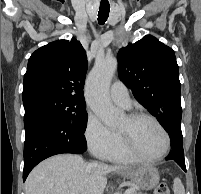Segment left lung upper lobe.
<instances>
[{"instance_id":"left-lung-upper-lobe-1","label":"left lung upper lobe","mask_w":201,"mask_h":194,"mask_svg":"<svg viewBox=\"0 0 201 194\" xmlns=\"http://www.w3.org/2000/svg\"><path fill=\"white\" fill-rule=\"evenodd\" d=\"M120 79L134 97L157 117L165 130L181 125V84L174 51L151 35L121 48L117 55Z\"/></svg>"}]
</instances>
